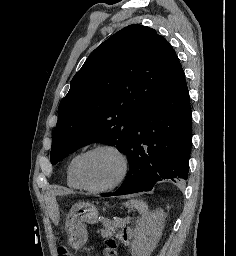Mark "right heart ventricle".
I'll use <instances>...</instances> for the list:
<instances>
[{
  "label": "right heart ventricle",
  "instance_id": "right-heart-ventricle-1",
  "mask_svg": "<svg viewBox=\"0 0 236 256\" xmlns=\"http://www.w3.org/2000/svg\"><path fill=\"white\" fill-rule=\"evenodd\" d=\"M82 153L83 151H78L75 154H73L67 161L66 169H65V178H66L67 185L70 188L76 189V190L82 188L76 177V165Z\"/></svg>",
  "mask_w": 236,
  "mask_h": 256
}]
</instances>
